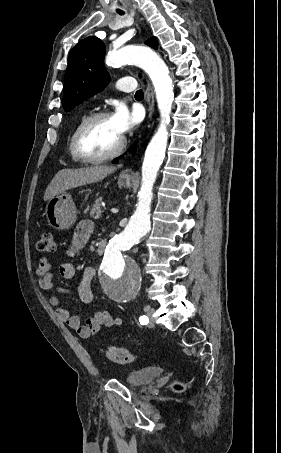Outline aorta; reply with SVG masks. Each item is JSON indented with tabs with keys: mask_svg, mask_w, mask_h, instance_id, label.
Returning a JSON list of instances; mask_svg holds the SVG:
<instances>
[{
	"mask_svg": "<svg viewBox=\"0 0 281 453\" xmlns=\"http://www.w3.org/2000/svg\"><path fill=\"white\" fill-rule=\"evenodd\" d=\"M109 66L133 64L142 68L154 86L160 125L149 142L142 165L141 187L138 193L136 211L124 231L113 237L105 250L101 263V287L104 293L118 303L133 299L141 285L140 269L133 259L124 256V251L150 231V206L153 185L165 157L168 140L167 125L174 100L172 79L165 62L150 48L142 46L125 47L106 57Z\"/></svg>",
	"mask_w": 281,
	"mask_h": 453,
	"instance_id": "1",
	"label": "aorta"
}]
</instances>
